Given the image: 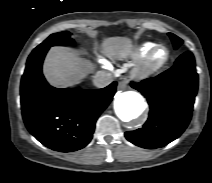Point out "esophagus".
Here are the masks:
<instances>
[{
	"label": "esophagus",
	"instance_id": "obj_1",
	"mask_svg": "<svg viewBox=\"0 0 212 183\" xmlns=\"http://www.w3.org/2000/svg\"><path fill=\"white\" fill-rule=\"evenodd\" d=\"M117 89L119 91L125 90L126 89V82L125 81H121L118 83Z\"/></svg>",
	"mask_w": 212,
	"mask_h": 183
}]
</instances>
